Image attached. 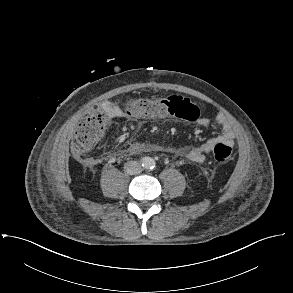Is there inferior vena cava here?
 <instances>
[{"label":"inferior vena cava","mask_w":293,"mask_h":293,"mask_svg":"<svg viewBox=\"0 0 293 293\" xmlns=\"http://www.w3.org/2000/svg\"><path fill=\"white\" fill-rule=\"evenodd\" d=\"M124 171L130 175L137 174L141 171V164L137 161H128L124 165Z\"/></svg>","instance_id":"602c4592"}]
</instances>
